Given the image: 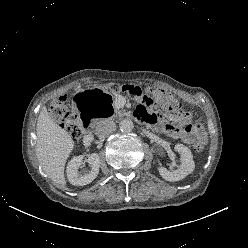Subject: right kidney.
<instances>
[{
	"label": "right kidney",
	"instance_id": "right-kidney-1",
	"mask_svg": "<svg viewBox=\"0 0 248 248\" xmlns=\"http://www.w3.org/2000/svg\"><path fill=\"white\" fill-rule=\"evenodd\" d=\"M90 170L82 173L78 171L83 163L84 155L73 157L67 165L66 173L69 182L74 186H83L91 183L99 173L100 159L97 153L87 154Z\"/></svg>",
	"mask_w": 248,
	"mask_h": 248
}]
</instances>
